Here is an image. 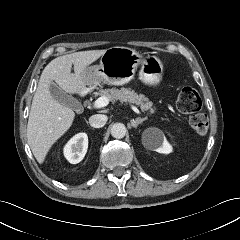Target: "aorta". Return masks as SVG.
Listing matches in <instances>:
<instances>
[{
    "mask_svg": "<svg viewBox=\"0 0 240 240\" xmlns=\"http://www.w3.org/2000/svg\"><path fill=\"white\" fill-rule=\"evenodd\" d=\"M127 129L122 123H115L111 127V135L116 139H121L126 135Z\"/></svg>",
    "mask_w": 240,
    "mask_h": 240,
    "instance_id": "762f6f07",
    "label": "aorta"
}]
</instances>
